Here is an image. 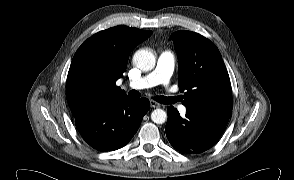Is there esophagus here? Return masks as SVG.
<instances>
[{"mask_svg":"<svg viewBox=\"0 0 294 180\" xmlns=\"http://www.w3.org/2000/svg\"><path fill=\"white\" fill-rule=\"evenodd\" d=\"M150 107H152V108H158V107H160V104L157 103V102L154 101V100H151V101H150Z\"/></svg>","mask_w":294,"mask_h":180,"instance_id":"1","label":"esophagus"}]
</instances>
